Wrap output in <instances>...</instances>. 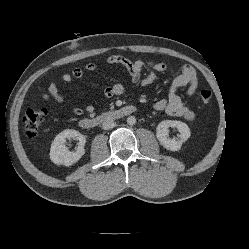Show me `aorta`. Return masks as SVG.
Segmentation results:
<instances>
[{
  "instance_id": "aorta-1",
  "label": "aorta",
  "mask_w": 249,
  "mask_h": 249,
  "mask_svg": "<svg viewBox=\"0 0 249 249\" xmlns=\"http://www.w3.org/2000/svg\"><path fill=\"white\" fill-rule=\"evenodd\" d=\"M127 123L129 125H134L136 123V118L134 116H130L127 118Z\"/></svg>"
}]
</instances>
